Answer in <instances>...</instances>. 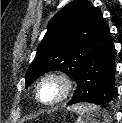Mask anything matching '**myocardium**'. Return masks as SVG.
I'll return each instance as SVG.
<instances>
[{"label": "myocardium", "mask_w": 122, "mask_h": 123, "mask_svg": "<svg viewBox=\"0 0 122 123\" xmlns=\"http://www.w3.org/2000/svg\"><path fill=\"white\" fill-rule=\"evenodd\" d=\"M49 79H54V80L59 81L62 85V92L56 99L46 102V101H43L40 97V88L42 84ZM74 85H75V82L72 76L69 75L68 73L63 72V71L49 72L46 75H44L37 83L36 90H35V96L38 102H40L41 104L46 105V106H54L59 103H62L70 96V94L72 93L74 89Z\"/></svg>", "instance_id": "obj_1"}]
</instances>
